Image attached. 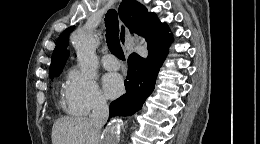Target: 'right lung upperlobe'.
<instances>
[{
    "label": "right lung upper lobe",
    "mask_w": 260,
    "mask_h": 144,
    "mask_svg": "<svg viewBox=\"0 0 260 144\" xmlns=\"http://www.w3.org/2000/svg\"><path fill=\"white\" fill-rule=\"evenodd\" d=\"M119 15L131 33L134 32L146 39L148 48L172 37L167 24L161 23L154 13H149L136 0H123L119 6ZM73 29L74 26H71L59 36L52 55L49 74L63 69L69 56L68 35Z\"/></svg>",
    "instance_id": "obj_1"
}]
</instances>
